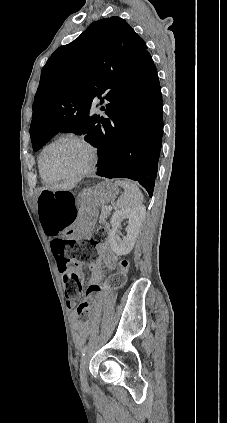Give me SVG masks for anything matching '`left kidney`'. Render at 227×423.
Masks as SVG:
<instances>
[{
  "label": "left kidney",
  "mask_w": 227,
  "mask_h": 423,
  "mask_svg": "<svg viewBox=\"0 0 227 423\" xmlns=\"http://www.w3.org/2000/svg\"><path fill=\"white\" fill-rule=\"evenodd\" d=\"M144 206H138V208H126V210H116L111 217L112 229L109 231V243L111 249L115 251L116 255H127L134 247L135 239L139 233V229L142 225V221L145 217ZM128 219L126 231L127 235H124L123 239L119 237L117 231L118 227H121V221Z\"/></svg>",
  "instance_id": "5707ae66"
}]
</instances>
